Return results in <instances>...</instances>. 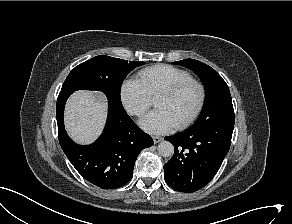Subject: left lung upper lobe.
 I'll use <instances>...</instances> for the list:
<instances>
[{
	"instance_id": "left-lung-upper-lobe-1",
	"label": "left lung upper lobe",
	"mask_w": 292,
	"mask_h": 224,
	"mask_svg": "<svg viewBox=\"0 0 292 224\" xmlns=\"http://www.w3.org/2000/svg\"><path fill=\"white\" fill-rule=\"evenodd\" d=\"M174 64L183 65L193 70L205 87V103L202 112L195 124L189 129L199 130L214 122L234 118L229 88L214 69L194 59H184L176 61Z\"/></svg>"
}]
</instances>
